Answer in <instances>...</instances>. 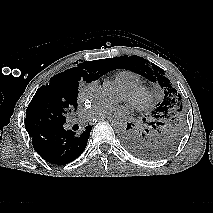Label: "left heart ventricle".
<instances>
[{
	"label": "left heart ventricle",
	"mask_w": 213,
	"mask_h": 213,
	"mask_svg": "<svg viewBox=\"0 0 213 213\" xmlns=\"http://www.w3.org/2000/svg\"><path fill=\"white\" fill-rule=\"evenodd\" d=\"M121 99H126V94H125V92L123 90L121 92Z\"/></svg>",
	"instance_id": "obj_1"
}]
</instances>
